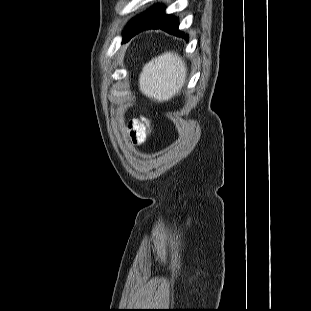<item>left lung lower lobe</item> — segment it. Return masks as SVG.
<instances>
[{
    "instance_id": "obj_1",
    "label": "left lung lower lobe",
    "mask_w": 311,
    "mask_h": 311,
    "mask_svg": "<svg viewBox=\"0 0 311 311\" xmlns=\"http://www.w3.org/2000/svg\"><path fill=\"white\" fill-rule=\"evenodd\" d=\"M148 29H161L172 35L188 39V36L178 29L177 18L166 15L164 7L158 5L129 22L124 33L123 42Z\"/></svg>"
}]
</instances>
